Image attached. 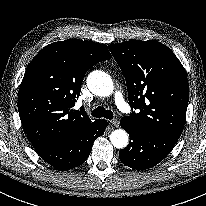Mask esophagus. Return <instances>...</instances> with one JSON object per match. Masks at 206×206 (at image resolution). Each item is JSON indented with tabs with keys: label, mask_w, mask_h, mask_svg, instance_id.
I'll list each match as a JSON object with an SVG mask.
<instances>
[{
	"label": "esophagus",
	"mask_w": 206,
	"mask_h": 206,
	"mask_svg": "<svg viewBox=\"0 0 206 206\" xmlns=\"http://www.w3.org/2000/svg\"><path fill=\"white\" fill-rule=\"evenodd\" d=\"M110 123L115 127H119V121L117 119L111 120Z\"/></svg>",
	"instance_id": "obj_1"
}]
</instances>
